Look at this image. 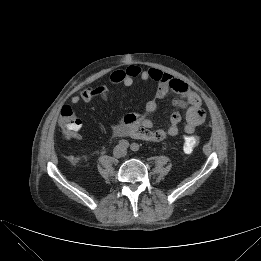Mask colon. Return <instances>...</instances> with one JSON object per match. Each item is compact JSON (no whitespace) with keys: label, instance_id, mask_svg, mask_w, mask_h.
<instances>
[{"label":"colon","instance_id":"colon-1","mask_svg":"<svg viewBox=\"0 0 261 261\" xmlns=\"http://www.w3.org/2000/svg\"><path fill=\"white\" fill-rule=\"evenodd\" d=\"M59 126L67 137H72L79 129L80 121L73 113L70 106H64L61 109L59 117ZM199 144V138L195 135L186 134L183 137V150L186 153L192 152Z\"/></svg>","mask_w":261,"mask_h":261}]
</instances>
